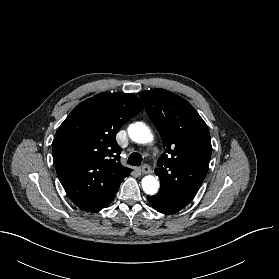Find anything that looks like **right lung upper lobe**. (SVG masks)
I'll return each mask as SVG.
<instances>
[{
	"instance_id": "1",
	"label": "right lung upper lobe",
	"mask_w": 279,
	"mask_h": 279,
	"mask_svg": "<svg viewBox=\"0 0 279 279\" xmlns=\"http://www.w3.org/2000/svg\"><path fill=\"white\" fill-rule=\"evenodd\" d=\"M133 94L102 93L89 98L68 115L52 143L58 178L82 210L98 212L113 200L132 169L119 162L116 133L143 110Z\"/></svg>"
}]
</instances>
